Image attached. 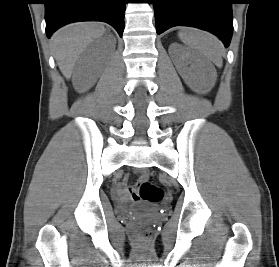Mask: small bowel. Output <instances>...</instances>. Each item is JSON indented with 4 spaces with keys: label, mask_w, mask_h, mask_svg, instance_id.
Here are the masks:
<instances>
[{
    "label": "small bowel",
    "mask_w": 279,
    "mask_h": 267,
    "mask_svg": "<svg viewBox=\"0 0 279 267\" xmlns=\"http://www.w3.org/2000/svg\"><path fill=\"white\" fill-rule=\"evenodd\" d=\"M115 195L120 199L126 200L132 198L133 201H140L141 197L138 192H134V189H128L124 184H117L115 186Z\"/></svg>",
    "instance_id": "obj_1"
}]
</instances>
